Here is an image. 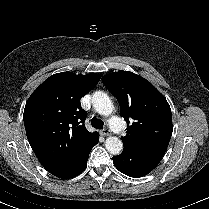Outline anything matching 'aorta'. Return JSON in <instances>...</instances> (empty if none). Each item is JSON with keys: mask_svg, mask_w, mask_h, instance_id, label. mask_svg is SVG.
I'll list each match as a JSON object with an SVG mask.
<instances>
[{"mask_svg": "<svg viewBox=\"0 0 209 209\" xmlns=\"http://www.w3.org/2000/svg\"><path fill=\"white\" fill-rule=\"evenodd\" d=\"M94 109L104 116L112 113L114 106L110 97L103 91H96L92 95ZM106 150L112 155H118L123 149L122 141L116 136H109L105 141Z\"/></svg>", "mask_w": 209, "mask_h": 209, "instance_id": "762f6f07", "label": "aorta"}]
</instances>
